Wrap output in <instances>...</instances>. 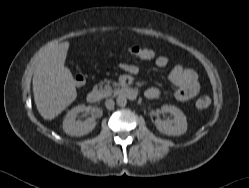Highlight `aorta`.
<instances>
[{
	"label": "aorta",
	"mask_w": 249,
	"mask_h": 188,
	"mask_svg": "<svg viewBox=\"0 0 249 188\" xmlns=\"http://www.w3.org/2000/svg\"><path fill=\"white\" fill-rule=\"evenodd\" d=\"M116 103L118 106L123 107L127 104V99L124 96H118L116 99Z\"/></svg>",
	"instance_id": "762f6f07"
}]
</instances>
